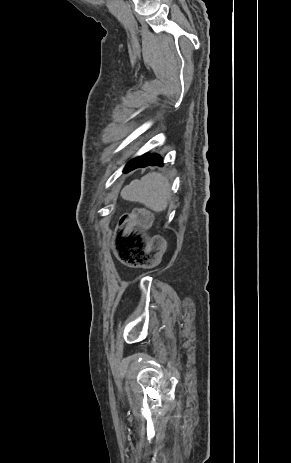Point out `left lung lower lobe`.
<instances>
[{"label":"left lung lower lobe","instance_id":"obj_1","mask_svg":"<svg viewBox=\"0 0 291 463\" xmlns=\"http://www.w3.org/2000/svg\"><path fill=\"white\" fill-rule=\"evenodd\" d=\"M155 166V165H160L162 166V158L158 154H148L145 153L141 156H138L131 161L128 162L126 165L124 172H129L133 169L139 168V167H146V166Z\"/></svg>","mask_w":291,"mask_h":463}]
</instances>
